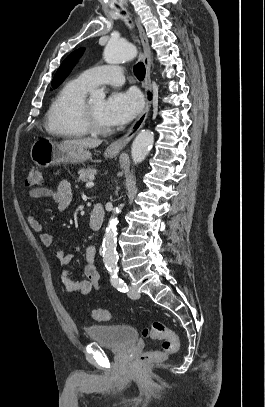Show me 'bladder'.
I'll return each mask as SVG.
<instances>
[{
  "instance_id": "bladder-1",
  "label": "bladder",
  "mask_w": 265,
  "mask_h": 407,
  "mask_svg": "<svg viewBox=\"0 0 265 407\" xmlns=\"http://www.w3.org/2000/svg\"><path fill=\"white\" fill-rule=\"evenodd\" d=\"M86 333L92 341L114 349H123L139 339V332L129 325H91Z\"/></svg>"
}]
</instances>
